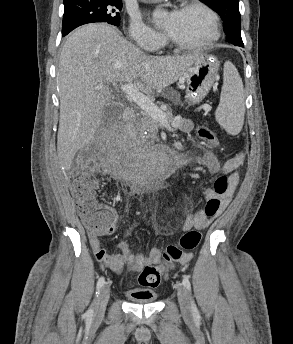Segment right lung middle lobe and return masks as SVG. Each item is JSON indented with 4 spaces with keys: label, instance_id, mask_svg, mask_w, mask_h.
I'll use <instances>...</instances> for the list:
<instances>
[{
    "label": "right lung middle lobe",
    "instance_id": "right-lung-middle-lobe-1",
    "mask_svg": "<svg viewBox=\"0 0 293 344\" xmlns=\"http://www.w3.org/2000/svg\"><path fill=\"white\" fill-rule=\"evenodd\" d=\"M62 36L78 26L94 22H106L115 26L120 25L122 9L121 0H78L64 3Z\"/></svg>",
    "mask_w": 293,
    "mask_h": 344
}]
</instances>
